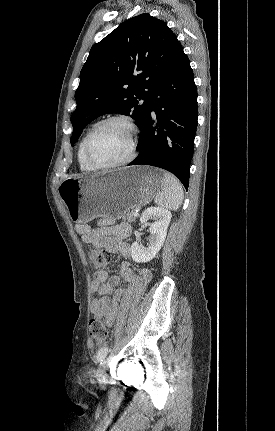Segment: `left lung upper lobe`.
<instances>
[{
  "label": "left lung upper lobe",
  "instance_id": "5c2ea615",
  "mask_svg": "<svg viewBox=\"0 0 275 431\" xmlns=\"http://www.w3.org/2000/svg\"><path fill=\"white\" fill-rule=\"evenodd\" d=\"M180 46L167 24L148 13L128 19L93 45L75 92L71 145L86 125L104 114L130 116L140 129L156 86Z\"/></svg>",
  "mask_w": 275,
  "mask_h": 431
}]
</instances>
